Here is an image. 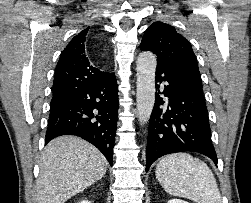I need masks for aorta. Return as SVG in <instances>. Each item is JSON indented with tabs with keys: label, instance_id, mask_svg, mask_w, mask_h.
Returning a JSON list of instances; mask_svg holds the SVG:
<instances>
[{
	"label": "aorta",
	"instance_id": "1",
	"mask_svg": "<svg viewBox=\"0 0 251 203\" xmlns=\"http://www.w3.org/2000/svg\"><path fill=\"white\" fill-rule=\"evenodd\" d=\"M157 59L150 51L137 58V113L141 123L148 122L155 103V71Z\"/></svg>",
	"mask_w": 251,
	"mask_h": 203
}]
</instances>
